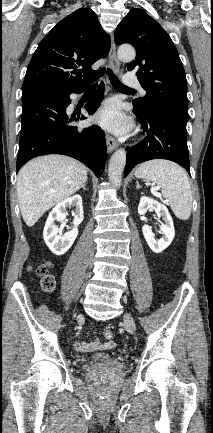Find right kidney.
I'll return each instance as SVG.
<instances>
[{
    "label": "right kidney",
    "instance_id": "obj_1",
    "mask_svg": "<svg viewBox=\"0 0 213 433\" xmlns=\"http://www.w3.org/2000/svg\"><path fill=\"white\" fill-rule=\"evenodd\" d=\"M70 206L75 208L72 212L74 216L73 227L64 235H58L59 229L55 225V221L62 222L67 215L66 208ZM83 218L82 197L80 195L66 198L52 209L43 231L44 241L52 253L55 255H63L70 249L77 238L78 226L82 223Z\"/></svg>",
    "mask_w": 213,
    "mask_h": 433
}]
</instances>
